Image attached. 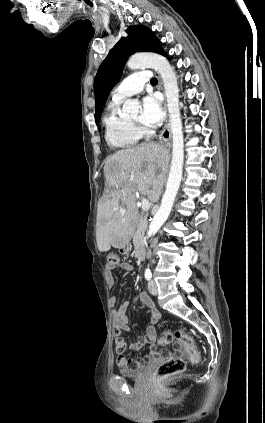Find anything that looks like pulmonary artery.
<instances>
[{
	"mask_svg": "<svg viewBox=\"0 0 265 423\" xmlns=\"http://www.w3.org/2000/svg\"><path fill=\"white\" fill-rule=\"evenodd\" d=\"M151 79L148 70H139L127 77L113 92V99L123 101L124 99L138 94L142 91L144 84Z\"/></svg>",
	"mask_w": 265,
	"mask_h": 423,
	"instance_id": "obj_1",
	"label": "pulmonary artery"
}]
</instances>
